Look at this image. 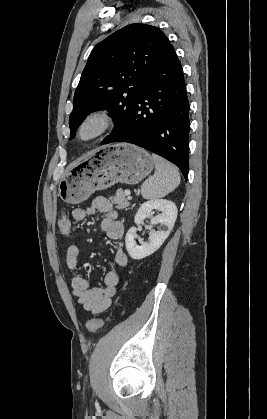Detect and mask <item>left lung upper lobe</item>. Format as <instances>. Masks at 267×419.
<instances>
[{
    "mask_svg": "<svg viewBox=\"0 0 267 419\" xmlns=\"http://www.w3.org/2000/svg\"><path fill=\"white\" fill-rule=\"evenodd\" d=\"M170 42L157 27L130 24L92 50L70 114V137L88 114L108 110L115 125L130 113L146 89V79L163 60Z\"/></svg>",
    "mask_w": 267,
    "mask_h": 419,
    "instance_id": "1",
    "label": "left lung upper lobe"
}]
</instances>
